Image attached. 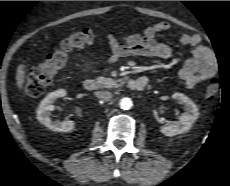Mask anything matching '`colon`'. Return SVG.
I'll use <instances>...</instances> for the list:
<instances>
[{
	"instance_id": "5ec220e1",
	"label": "colon",
	"mask_w": 230,
	"mask_h": 186,
	"mask_svg": "<svg viewBox=\"0 0 230 186\" xmlns=\"http://www.w3.org/2000/svg\"><path fill=\"white\" fill-rule=\"evenodd\" d=\"M94 40L95 34L90 29H84L66 37L59 46L51 50L43 63L30 68L25 79L24 94L30 97L41 96L53 81L56 73L66 66L68 54L73 50L92 44ZM219 91L220 84L218 80L213 79L205 88V96L212 100L218 95Z\"/></svg>"
}]
</instances>
